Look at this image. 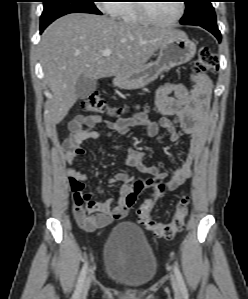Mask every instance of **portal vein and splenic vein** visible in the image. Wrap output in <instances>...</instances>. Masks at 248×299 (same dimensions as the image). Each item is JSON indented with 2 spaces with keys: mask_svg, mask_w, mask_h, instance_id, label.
Instances as JSON below:
<instances>
[{
  "mask_svg": "<svg viewBox=\"0 0 248 299\" xmlns=\"http://www.w3.org/2000/svg\"><path fill=\"white\" fill-rule=\"evenodd\" d=\"M112 51L110 49H105L102 53L103 56L108 57L110 56Z\"/></svg>",
  "mask_w": 248,
  "mask_h": 299,
  "instance_id": "18ae733b",
  "label": "portal vein and splenic vein"
}]
</instances>
